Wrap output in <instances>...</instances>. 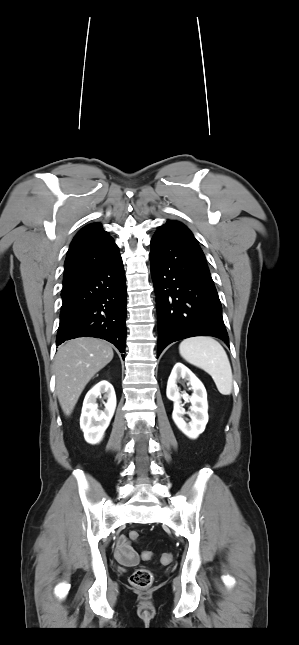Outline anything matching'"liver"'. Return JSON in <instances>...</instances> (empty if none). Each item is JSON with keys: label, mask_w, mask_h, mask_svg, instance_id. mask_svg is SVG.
Returning a JSON list of instances; mask_svg holds the SVG:
<instances>
[{"label": "liver", "mask_w": 299, "mask_h": 645, "mask_svg": "<svg viewBox=\"0 0 299 645\" xmlns=\"http://www.w3.org/2000/svg\"><path fill=\"white\" fill-rule=\"evenodd\" d=\"M113 359L112 347L96 338H76L58 348L55 356L56 393L69 416L91 378Z\"/></svg>", "instance_id": "1"}]
</instances>
